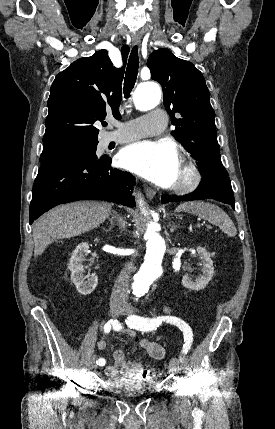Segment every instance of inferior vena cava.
I'll list each match as a JSON object with an SVG mask.
<instances>
[{
	"mask_svg": "<svg viewBox=\"0 0 275 429\" xmlns=\"http://www.w3.org/2000/svg\"><path fill=\"white\" fill-rule=\"evenodd\" d=\"M133 269L134 265L130 262L121 271L112 291L110 299L112 303H121L123 305L127 304L129 291L128 279Z\"/></svg>",
	"mask_w": 275,
	"mask_h": 429,
	"instance_id": "1",
	"label": "inferior vena cava"
}]
</instances>
